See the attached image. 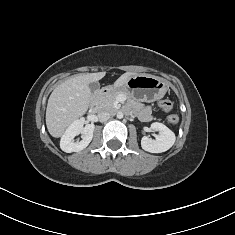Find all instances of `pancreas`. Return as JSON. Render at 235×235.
<instances>
[{
    "instance_id": "pancreas-1",
    "label": "pancreas",
    "mask_w": 235,
    "mask_h": 235,
    "mask_svg": "<svg viewBox=\"0 0 235 235\" xmlns=\"http://www.w3.org/2000/svg\"><path fill=\"white\" fill-rule=\"evenodd\" d=\"M119 95L126 96V93L122 91H111L107 94H100L97 97V104L101 108L115 110L117 106V98Z\"/></svg>"
}]
</instances>
